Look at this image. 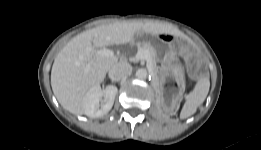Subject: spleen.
Returning a JSON list of instances; mask_svg holds the SVG:
<instances>
[{"label": "spleen", "instance_id": "spleen-1", "mask_svg": "<svg viewBox=\"0 0 261 150\" xmlns=\"http://www.w3.org/2000/svg\"><path fill=\"white\" fill-rule=\"evenodd\" d=\"M210 88V80L208 77H203L198 80L193 91L189 94L182 110L180 113V118L185 119L192 116L197 108L206 99Z\"/></svg>", "mask_w": 261, "mask_h": 150}]
</instances>
